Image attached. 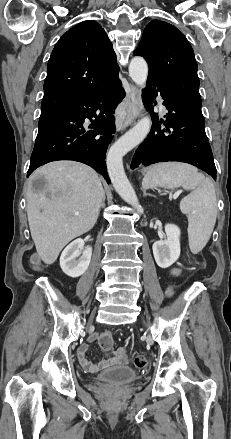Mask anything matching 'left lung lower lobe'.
I'll return each instance as SVG.
<instances>
[{
	"label": "left lung lower lobe",
	"instance_id": "left-lung-lower-lobe-1",
	"mask_svg": "<svg viewBox=\"0 0 231 439\" xmlns=\"http://www.w3.org/2000/svg\"><path fill=\"white\" fill-rule=\"evenodd\" d=\"M158 94L168 111L165 120H160L166 129H160L158 115L151 112L155 124L137 148L131 169L158 162L179 161L198 167L216 180V167L202 112L194 109L159 80L148 76L147 87L142 94L145 107L152 110L150 105Z\"/></svg>",
	"mask_w": 231,
	"mask_h": 439
}]
</instances>
